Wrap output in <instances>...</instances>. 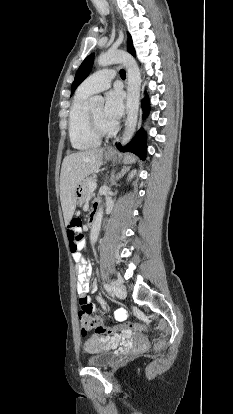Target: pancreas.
Returning <instances> with one entry per match:
<instances>
[{
  "mask_svg": "<svg viewBox=\"0 0 233 414\" xmlns=\"http://www.w3.org/2000/svg\"><path fill=\"white\" fill-rule=\"evenodd\" d=\"M91 182H95V179L93 177H88L84 180V185L86 188V197L90 196L92 193L91 189L89 188V184Z\"/></svg>",
  "mask_w": 233,
  "mask_h": 414,
  "instance_id": "cf45deb5",
  "label": "pancreas"
}]
</instances>
